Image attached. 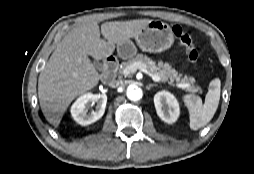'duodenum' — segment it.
Wrapping results in <instances>:
<instances>
[{
	"mask_svg": "<svg viewBox=\"0 0 254 174\" xmlns=\"http://www.w3.org/2000/svg\"><path fill=\"white\" fill-rule=\"evenodd\" d=\"M118 70V61L115 57L109 56L104 62V70L101 75V81L105 84H111L116 80Z\"/></svg>",
	"mask_w": 254,
	"mask_h": 174,
	"instance_id": "410a0bca",
	"label": "duodenum"
}]
</instances>
